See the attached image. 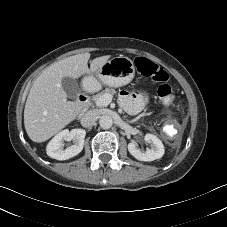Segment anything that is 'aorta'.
Here are the masks:
<instances>
[{
  "mask_svg": "<svg viewBox=\"0 0 227 227\" xmlns=\"http://www.w3.org/2000/svg\"><path fill=\"white\" fill-rule=\"evenodd\" d=\"M99 125L103 129H109L113 125V119L109 115H102L99 119Z\"/></svg>",
  "mask_w": 227,
  "mask_h": 227,
  "instance_id": "obj_1",
  "label": "aorta"
}]
</instances>
